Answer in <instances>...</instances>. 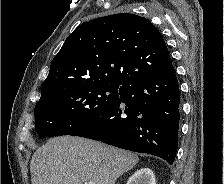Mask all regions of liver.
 Returning a JSON list of instances; mask_svg holds the SVG:
<instances>
[{
    "label": "liver",
    "instance_id": "liver-1",
    "mask_svg": "<svg viewBox=\"0 0 224 184\" xmlns=\"http://www.w3.org/2000/svg\"><path fill=\"white\" fill-rule=\"evenodd\" d=\"M138 163V156L89 139L63 136L48 140L31 160L32 184H115Z\"/></svg>",
    "mask_w": 224,
    "mask_h": 184
}]
</instances>
